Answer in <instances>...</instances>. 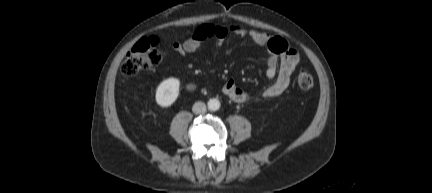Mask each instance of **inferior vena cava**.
Here are the masks:
<instances>
[{
  "label": "inferior vena cava",
  "mask_w": 432,
  "mask_h": 193,
  "mask_svg": "<svg viewBox=\"0 0 432 193\" xmlns=\"http://www.w3.org/2000/svg\"><path fill=\"white\" fill-rule=\"evenodd\" d=\"M192 111L195 114H203V113H205L206 112V105H205V103L201 102V101L194 103V105L192 107Z\"/></svg>",
  "instance_id": "1"
}]
</instances>
